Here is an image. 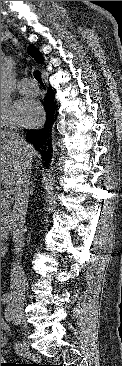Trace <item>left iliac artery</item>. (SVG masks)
<instances>
[{
    "mask_svg": "<svg viewBox=\"0 0 122 366\" xmlns=\"http://www.w3.org/2000/svg\"><path fill=\"white\" fill-rule=\"evenodd\" d=\"M12 314V310L11 309H7L6 310V313H5V316L8 318V316H10ZM10 321V319H8Z\"/></svg>",
    "mask_w": 122,
    "mask_h": 366,
    "instance_id": "left-iliac-artery-1",
    "label": "left iliac artery"
}]
</instances>
